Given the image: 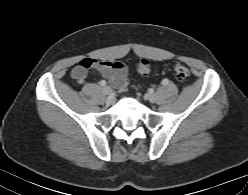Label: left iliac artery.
<instances>
[{
	"label": "left iliac artery",
	"mask_w": 248,
	"mask_h": 195,
	"mask_svg": "<svg viewBox=\"0 0 248 195\" xmlns=\"http://www.w3.org/2000/svg\"><path fill=\"white\" fill-rule=\"evenodd\" d=\"M162 84H163V85L168 84V79H163V80H162Z\"/></svg>",
	"instance_id": "obj_1"
}]
</instances>
